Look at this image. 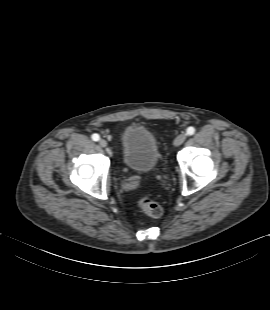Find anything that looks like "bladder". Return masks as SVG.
<instances>
[{"label": "bladder", "mask_w": 270, "mask_h": 310, "mask_svg": "<svg viewBox=\"0 0 270 310\" xmlns=\"http://www.w3.org/2000/svg\"><path fill=\"white\" fill-rule=\"evenodd\" d=\"M121 159L131 170L153 171L160 160V149L152 131L140 125L126 127L121 137Z\"/></svg>", "instance_id": "bladder-1"}]
</instances>
